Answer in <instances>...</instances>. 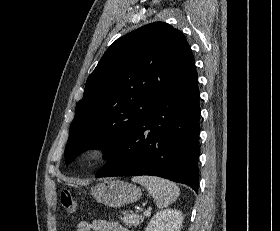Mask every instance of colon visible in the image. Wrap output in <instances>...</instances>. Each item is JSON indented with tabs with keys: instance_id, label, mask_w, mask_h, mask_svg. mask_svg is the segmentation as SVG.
<instances>
[{
	"instance_id": "5ec220e1",
	"label": "colon",
	"mask_w": 280,
	"mask_h": 231,
	"mask_svg": "<svg viewBox=\"0 0 280 231\" xmlns=\"http://www.w3.org/2000/svg\"><path fill=\"white\" fill-rule=\"evenodd\" d=\"M59 198L66 213H70L75 208L76 201L71 192L63 190Z\"/></svg>"
}]
</instances>
